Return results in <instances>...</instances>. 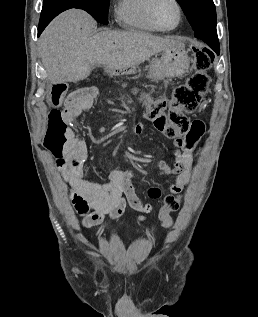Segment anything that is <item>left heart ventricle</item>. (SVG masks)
Segmentation results:
<instances>
[{
	"label": "left heart ventricle",
	"mask_w": 258,
	"mask_h": 317,
	"mask_svg": "<svg viewBox=\"0 0 258 317\" xmlns=\"http://www.w3.org/2000/svg\"><path fill=\"white\" fill-rule=\"evenodd\" d=\"M154 15L161 26L170 27L178 18L177 5L173 0H162L156 5Z\"/></svg>",
	"instance_id": "obj_1"
}]
</instances>
